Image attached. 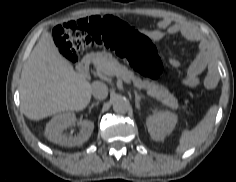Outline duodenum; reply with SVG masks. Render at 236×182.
<instances>
[{
    "label": "duodenum",
    "instance_id": "410a0bca",
    "mask_svg": "<svg viewBox=\"0 0 236 182\" xmlns=\"http://www.w3.org/2000/svg\"><path fill=\"white\" fill-rule=\"evenodd\" d=\"M91 63V56H86L78 65V72L83 76H87L89 74V66Z\"/></svg>",
    "mask_w": 236,
    "mask_h": 182
}]
</instances>
